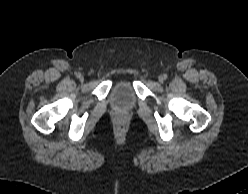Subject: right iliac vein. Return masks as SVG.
Segmentation results:
<instances>
[{
  "label": "right iliac vein",
  "instance_id": "1",
  "mask_svg": "<svg viewBox=\"0 0 248 194\" xmlns=\"http://www.w3.org/2000/svg\"><path fill=\"white\" fill-rule=\"evenodd\" d=\"M79 79H80V81H83L84 80V78L82 76H80Z\"/></svg>",
  "mask_w": 248,
  "mask_h": 194
}]
</instances>
